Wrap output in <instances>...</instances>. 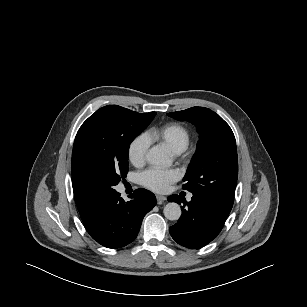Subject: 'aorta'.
Segmentation results:
<instances>
[{
	"mask_svg": "<svg viewBox=\"0 0 307 307\" xmlns=\"http://www.w3.org/2000/svg\"><path fill=\"white\" fill-rule=\"evenodd\" d=\"M147 162L151 165L167 166L172 163L167 151L163 147H152L147 153ZM166 219L175 221L181 217L182 211L179 204L170 202L166 204L163 210Z\"/></svg>",
	"mask_w": 307,
	"mask_h": 307,
	"instance_id": "1",
	"label": "aorta"
}]
</instances>
